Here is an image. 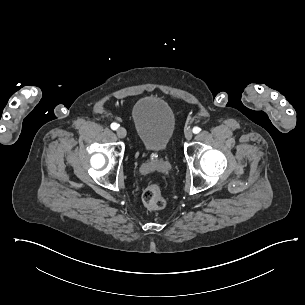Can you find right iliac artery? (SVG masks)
<instances>
[{
  "instance_id": "obj_1",
  "label": "right iliac artery",
  "mask_w": 305,
  "mask_h": 305,
  "mask_svg": "<svg viewBox=\"0 0 305 305\" xmlns=\"http://www.w3.org/2000/svg\"><path fill=\"white\" fill-rule=\"evenodd\" d=\"M119 127L117 123H112L111 124V129L116 130Z\"/></svg>"
}]
</instances>
